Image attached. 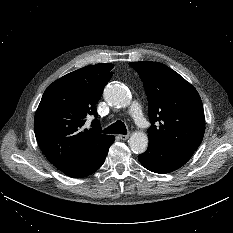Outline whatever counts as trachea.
<instances>
[{
  "instance_id": "obj_1",
  "label": "trachea",
  "mask_w": 233,
  "mask_h": 233,
  "mask_svg": "<svg viewBox=\"0 0 233 233\" xmlns=\"http://www.w3.org/2000/svg\"><path fill=\"white\" fill-rule=\"evenodd\" d=\"M103 133L105 134H127V129L125 124L118 120L112 125L108 126L106 129L103 130Z\"/></svg>"
}]
</instances>
